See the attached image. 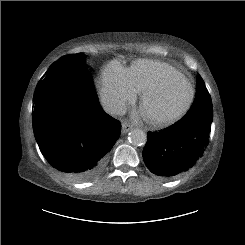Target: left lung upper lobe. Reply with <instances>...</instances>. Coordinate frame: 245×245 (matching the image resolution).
<instances>
[{"mask_svg": "<svg viewBox=\"0 0 245 245\" xmlns=\"http://www.w3.org/2000/svg\"><path fill=\"white\" fill-rule=\"evenodd\" d=\"M197 80H202V78L198 76ZM198 101H199V98H195L191 108L186 113V115L181 119V121L190 122V121L199 119V116H201L202 114L200 113L201 108L198 106Z\"/></svg>", "mask_w": 245, "mask_h": 245, "instance_id": "obj_1", "label": "left lung upper lobe"}]
</instances>
